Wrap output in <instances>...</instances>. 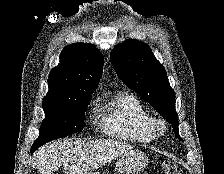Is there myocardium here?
Instances as JSON below:
<instances>
[{
	"label": "myocardium",
	"instance_id": "obj_1",
	"mask_svg": "<svg viewBox=\"0 0 224 174\" xmlns=\"http://www.w3.org/2000/svg\"><path fill=\"white\" fill-rule=\"evenodd\" d=\"M147 125L149 130L155 135H162L166 131V124L163 119L156 116H149Z\"/></svg>",
	"mask_w": 224,
	"mask_h": 174
}]
</instances>
